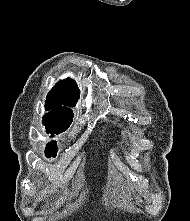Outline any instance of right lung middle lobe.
Returning a JSON list of instances; mask_svg holds the SVG:
<instances>
[{"mask_svg":"<svg viewBox=\"0 0 190 221\" xmlns=\"http://www.w3.org/2000/svg\"><path fill=\"white\" fill-rule=\"evenodd\" d=\"M43 125L46 127L48 133L59 134L64 132L69 126V123L57 122V121H45L43 120ZM58 151L57 142L52 141L46 145L45 154L47 157H56V152Z\"/></svg>","mask_w":190,"mask_h":221,"instance_id":"dd1d6c3e","label":"right lung middle lobe"}]
</instances>
